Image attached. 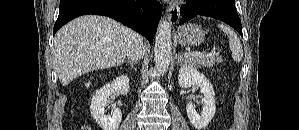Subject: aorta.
Here are the masks:
<instances>
[{
  "label": "aorta",
  "mask_w": 299,
  "mask_h": 130,
  "mask_svg": "<svg viewBox=\"0 0 299 130\" xmlns=\"http://www.w3.org/2000/svg\"><path fill=\"white\" fill-rule=\"evenodd\" d=\"M172 40L171 24L166 18H162L157 28L154 48V60L156 69L164 74L171 62Z\"/></svg>",
  "instance_id": "1"
}]
</instances>
